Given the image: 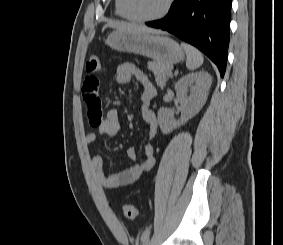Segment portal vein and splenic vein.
Instances as JSON below:
<instances>
[{
  "label": "portal vein and splenic vein",
  "mask_w": 283,
  "mask_h": 245,
  "mask_svg": "<svg viewBox=\"0 0 283 245\" xmlns=\"http://www.w3.org/2000/svg\"><path fill=\"white\" fill-rule=\"evenodd\" d=\"M169 74L171 75V74H172V72L170 71V72H169Z\"/></svg>",
  "instance_id": "portal-vein-and-splenic-vein-1"
}]
</instances>
